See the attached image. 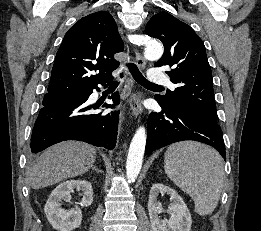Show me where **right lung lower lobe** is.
<instances>
[{"label": "right lung lower lobe", "instance_id": "98d812e1", "mask_svg": "<svg viewBox=\"0 0 261 231\" xmlns=\"http://www.w3.org/2000/svg\"><path fill=\"white\" fill-rule=\"evenodd\" d=\"M110 81V80H109ZM99 84L107 85L109 82ZM97 85L89 88L76 98L44 106L34 124L31 136V152L38 153L47 147L65 140H79L111 150L115 147L118 129V112L92 113L95 105L87 100ZM114 104H103L102 107L114 108L119 104V93L109 97Z\"/></svg>", "mask_w": 261, "mask_h": 231}]
</instances>
